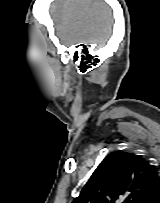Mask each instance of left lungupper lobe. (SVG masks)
Listing matches in <instances>:
<instances>
[{
  "label": "left lung upper lobe",
  "instance_id": "left-lung-upper-lobe-1",
  "mask_svg": "<svg viewBox=\"0 0 160 203\" xmlns=\"http://www.w3.org/2000/svg\"><path fill=\"white\" fill-rule=\"evenodd\" d=\"M160 176L147 161L127 152H112L96 168L72 203H151Z\"/></svg>",
  "mask_w": 160,
  "mask_h": 203
}]
</instances>
